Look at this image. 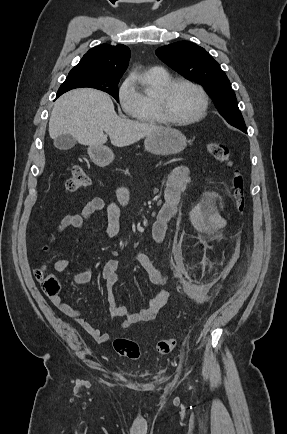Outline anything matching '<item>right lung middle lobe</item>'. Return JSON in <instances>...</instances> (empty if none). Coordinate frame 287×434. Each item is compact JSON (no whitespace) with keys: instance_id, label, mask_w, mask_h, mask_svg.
Returning <instances> with one entry per match:
<instances>
[{"instance_id":"obj_1","label":"right lung middle lobe","mask_w":287,"mask_h":434,"mask_svg":"<svg viewBox=\"0 0 287 434\" xmlns=\"http://www.w3.org/2000/svg\"><path fill=\"white\" fill-rule=\"evenodd\" d=\"M120 78L112 79L101 76L85 75L77 72H69L68 77L60 86L57 97L63 93L82 87L95 88L107 92L119 102L118 83Z\"/></svg>"}]
</instances>
